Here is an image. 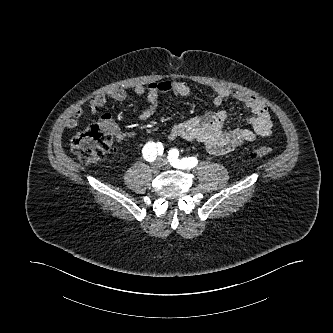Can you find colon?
<instances>
[{
  "mask_svg": "<svg viewBox=\"0 0 333 333\" xmlns=\"http://www.w3.org/2000/svg\"><path fill=\"white\" fill-rule=\"evenodd\" d=\"M113 137V134L104 126L92 124L84 132L73 137L71 149L84 163L94 164L110 150ZM271 153L272 149L268 146L250 150V156L254 158H264Z\"/></svg>",
  "mask_w": 333,
  "mask_h": 333,
  "instance_id": "obj_1",
  "label": "colon"
}]
</instances>
